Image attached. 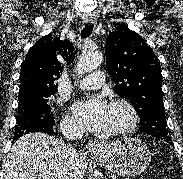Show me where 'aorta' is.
I'll return each instance as SVG.
<instances>
[{
    "instance_id": "762f6f07",
    "label": "aorta",
    "mask_w": 183,
    "mask_h": 179,
    "mask_svg": "<svg viewBox=\"0 0 183 179\" xmlns=\"http://www.w3.org/2000/svg\"><path fill=\"white\" fill-rule=\"evenodd\" d=\"M103 61V55L99 52L89 53L80 57L77 63V74L83 76L95 70Z\"/></svg>"
}]
</instances>
